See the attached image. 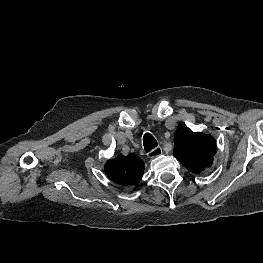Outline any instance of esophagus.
I'll return each instance as SVG.
<instances>
[{
  "label": "esophagus",
  "mask_w": 263,
  "mask_h": 263,
  "mask_svg": "<svg viewBox=\"0 0 263 263\" xmlns=\"http://www.w3.org/2000/svg\"><path fill=\"white\" fill-rule=\"evenodd\" d=\"M162 154V148L160 146L154 148L153 150H151L147 156L148 158L152 159V158H155V157H158L159 155Z\"/></svg>",
  "instance_id": "34e87169"
}]
</instances>
